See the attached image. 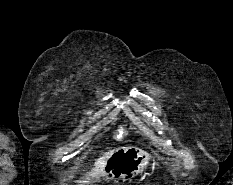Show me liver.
Instances as JSON below:
<instances>
[{
  "label": "liver",
  "instance_id": "6515ba94",
  "mask_svg": "<svg viewBox=\"0 0 233 185\" xmlns=\"http://www.w3.org/2000/svg\"><path fill=\"white\" fill-rule=\"evenodd\" d=\"M113 150H109L105 152L101 157H99L95 163L94 167L91 169L90 172L86 174V178L84 180L78 181V185H89L91 183V179L98 180L101 176H103V167L108 158L114 153Z\"/></svg>",
  "mask_w": 233,
  "mask_h": 185
}]
</instances>
